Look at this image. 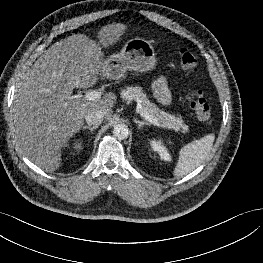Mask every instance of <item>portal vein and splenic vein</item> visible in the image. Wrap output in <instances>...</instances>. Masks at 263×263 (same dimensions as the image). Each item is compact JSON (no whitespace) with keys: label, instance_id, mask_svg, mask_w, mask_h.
<instances>
[{"label":"portal vein and splenic vein","instance_id":"portal-vein-and-splenic-vein-1","mask_svg":"<svg viewBox=\"0 0 263 263\" xmlns=\"http://www.w3.org/2000/svg\"><path fill=\"white\" fill-rule=\"evenodd\" d=\"M101 98V92L99 91H89L84 95V99L86 100H90V101H96L99 100ZM138 113L144 117L147 121L151 122L152 124L156 125V126H160V123L158 122V120L152 116H150L148 113L146 112H142L141 108H138Z\"/></svg>","mask_w":263,"mask_h":263}]
</instances>
